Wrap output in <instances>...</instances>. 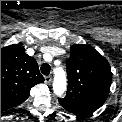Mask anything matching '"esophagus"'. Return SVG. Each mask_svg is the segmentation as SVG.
Instances as JSON below:
<instances>
[{
  "mask_svg": "<svg viewBox=\"0 0 122 122\" xmlns=\"http://www.w3.org/2000/svg\"><path fill=\"white\" fill-rule=\"evenodd\" d=\"M51 81H52V77L50 75L45 77V83L46 84H50Z\"/></svg>",
  "mask_w": 122,
  "mask_h": 122,
  "instance_id": "1",
  "label": "esophagus"
}]
</instances>
